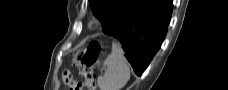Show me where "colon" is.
Segmentation results:
<instances>
[{
  "instance_id": "obj_1",
  "label": "colon",
  "mask_w": 228,
  "mask_h": 90,
  "mask_svg": "<svg viewBox=\"0 0 228 90\" xmlns=\"http://www.w3.org/2000/svg\"><path fill=\"white\" fill-rule=\"evenodd\" d=\"M100 50V43L93 41L73 56L71 65L82 67L81 76L84 79V84L73 80L70 70L65 69L63 71V82L69 90H96L97 86L93 74L94 67L97 65Z\"/></svg>"
}]
</instances>
